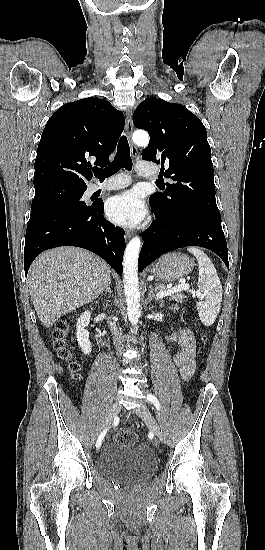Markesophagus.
Segmentation results:
<instances>
[{
	"label": "esophagus",
	"mask_w": 265,
	"mask_h": 550,
	"mask_svg": "<svg viewBox=\"0 0 265 550\" xmlns=\"http://www.w3.org/2000/svg\"><path fill=\"white\" fill-rule=\"evenodd\" d=\"M132 132H133L132 110L128 109L126 111V134L130 141L131 154L133 157H135L137 154V148L131 141ZM131 236H132V232L127 230L125 233L126 239H129Z\"/></svg>",
	"instance_id": "1"
}]
</instances>
